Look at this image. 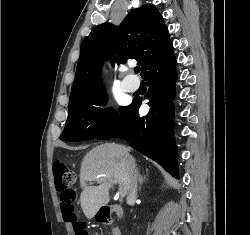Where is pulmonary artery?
Returning a JSON list of instances; mask_svg holds the SVG:
<instances>
[{
  "mask_svg": "<svg viewBox=\"0 0 250 235\" xmlns=\"http://www.w3.org/2000/svg\"><path fill=\"white\" fill-rule=\"evenodd\" d=\"M122 85L128 92H134L139 88V81H131L129 77H126L123 80Z\"/></svg>",
  "mask_w": 250,
  "mask_h": 235,
  "instance_id": "pulmonary-artery-1",
  "label": "pulmonary artery"
}]
</instances>
